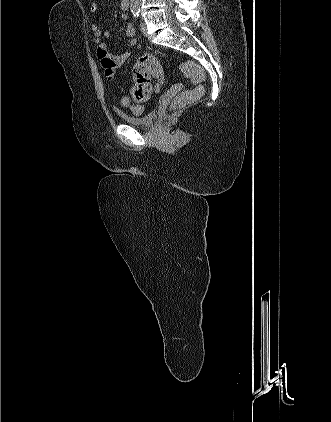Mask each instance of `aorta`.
<instances>
[{
    "label": "aorta",
    "instance_id": "aorta-1",
    "mask_svg": "<svg viewBox=\"0 0 331 422\" xmlns=\"http://www.w3.org/2000/svg\"><path fill=\"white\" fill-rule=\"evenodd\" d=\"M141 0H130V9L132 12H137L139 10Z\"/></svg>",
    "mask_w": 331,
    "mask_h": 422
}]
</instances>
